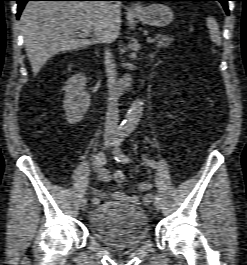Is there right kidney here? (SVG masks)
<instances>
[{"label": "right kidney", "mask_w": 247, "mask_h": 265, "mask_svg": "<svg viewBox=\"0 0 247 265\" xmlns=\"http://www.w3.org/2000/svg\"><path fill=\"white\" fill-rule=\"evenodd\" d=\"M63 109L69 124L82 120L90 106V95L86 91V78L82 74L70 77L65 86Z\"/></svg>", "instance_id": "obj_1"}]
</instances>
